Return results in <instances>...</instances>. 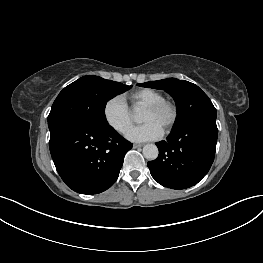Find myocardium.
<instances>
[{"label": "myocardium", "mask_w": 263, "mask_h": 263, "mask_svg": "<svg viewBox=\"0 0 263 263\" xmlns=\"http://www.w3.org/2000/svg\"><path fill=\"white\" fill-rule=\"evenodd\" d=\"M147 109L154 112H166L167 118L165 120L163 129L169 132L175 125L178 118V108L176 104L170 100H161L146 106Z\"/></svg>", "instance_id": "obj_1"}]
</instances>
